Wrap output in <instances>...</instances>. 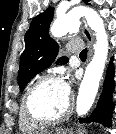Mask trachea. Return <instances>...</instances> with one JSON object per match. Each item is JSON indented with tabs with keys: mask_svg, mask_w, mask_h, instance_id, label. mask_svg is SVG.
I'll list each match as a JSON object with an SVG mask.
<instances>
[{
	"mask_svg": "<svg viewBox=\"0 0 116 134\" xmlns=\"http://www.w3.org/2000/svg\"><path fill=\"white\" fill-rule=\"evenodd\" d=\"M80 57H87V49H84L83 51H81V53H80V55H79Z\"/></svg>",
	"mask_w": 116,
	"mask_h": 134,
	"instance_id": "obj_1",
	"label": "trachea"
}]
</instances>
